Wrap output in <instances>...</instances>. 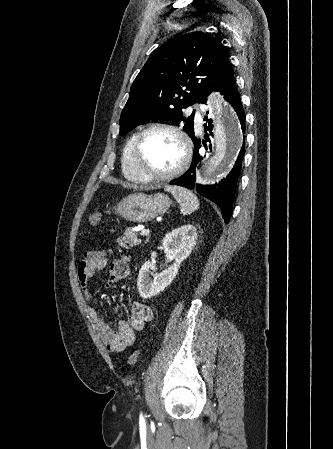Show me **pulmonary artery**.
I'll use <instances>...</instances> for the list:
<instances>
[{
  "instance_id": "obj_1",
  "label": "pulmonary artery",
  "mask_w": 333,
  "mask_h": 449,
  "mask_svg": "<svg viewBox=\"0 0 333 449\" xmlns=\"http://www.w3.org/2000/svg\"><path fill=\"white\" fill-rule=\"evenodd\" d=\"M196 119H197L198 126H201V124H202L201 118L199 116H197Z\"/></svg>"
}]
</instances>
